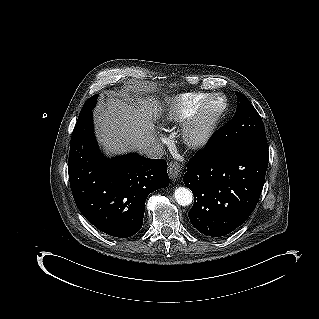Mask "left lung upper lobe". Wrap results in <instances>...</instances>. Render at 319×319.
I'll return each mask as SVG.
<instances>
[{
    "label": "left lung upper lobe",
    "mask_w": 319,
    "mask_h": 319,
    "mask_svg": "<svg viewBox=\"0 0 319 319\" xmlns=\"http://www.w3.org/2000/svg\"><path fill=\"white\" fill-rule=\"evenodd\" d=\"M237 109L232 120L219 129L208 141L205 150L213 153L227 148L256 142H266L262 119L250 101L239 92Z\"/></svg>",
    "instance_id": "obj_1"
}]
</instances>
